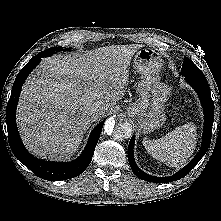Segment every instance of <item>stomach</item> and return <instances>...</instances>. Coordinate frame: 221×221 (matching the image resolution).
Segmentation results:
<instances>
[{"label":"stomach","mask_w":221,"mask_h":221,"mask_svg":"<svg viewBox=\"0 0 221 221\" xmlns=\"http://www.w3.org/2000/svg\"><path fill=\"white\" fill-rule=\"evenodd\" d=\"M162 65L160 54L152 48L139 50L133 61L141 80L137 87L139 99L128 107V113L144 134L160 128L166 120L164 104L169 99L171 89L160 82Z\"/></svg>","instance_id":"1"}]
</instances>
